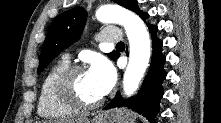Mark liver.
Masks as SVG:
<instances>
[{
  "label": "liver",
  "instance_id": "liver-1",
  "mask_svg": "<svg viewBox=\"0 0 221 123\" xmlns=\"http://www.w3.org/2000/svg\"><path fill=\"white\" fill-rule=\"evenodd\" d=\"M69 122H71V123H83L84 122V120H81V119H77V120H71V121H69Z\"/></svg>",
  "mask_w": 221,
  "mask_h": 123
}]
</instances>
